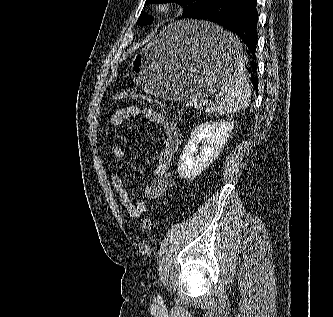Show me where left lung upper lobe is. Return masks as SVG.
Listing matches in <instances>:
<instances>
[{
    "mask_svg": "<svg viewBox=\"0 0 333 317\" xmlns=\"http://www.w3.org/2000/svg\"><path fill=\"white\" fill-rule=\"evenodd\" d=\"M213 0H146V4L151 3H167V2H177L183 6L182 18H188L190 14L202 9L203 7L210 4ZM153 22V18L147 16L146 13L141 12V15L137 21L139 25H147Z\"/></svg>",
    "mask_w": 333,
    "mask_h": 317,
    "instance_id": "1",
    "label": "left lung upper lobe"
}]
</instances>
